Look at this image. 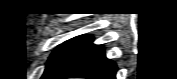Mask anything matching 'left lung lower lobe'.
<instances>
[{"instance_id": "obj_1", "label": "left lung lower lobe", "mask_w": 177, "mask_h": 79, "mask_svg": "<svg viewBox=\"0 0 177 79\" xmlns=\"http://www.w3.org/2000/svg\"><path fill=\"white\" fill-rule=\"evenodd\" d=\"M92 40L91 36H85L75 44L49 79H115L116 64L107 59L103 47L92 44Z\"/></svg>"}]
</instances>
